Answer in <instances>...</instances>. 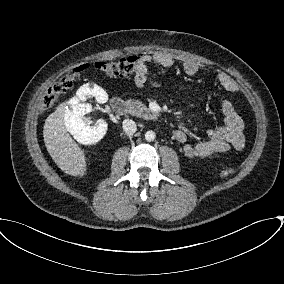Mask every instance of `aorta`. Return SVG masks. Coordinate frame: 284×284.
Returning <instances> with one entry per match:
<instances>
[{
  "label": "aorta",
  "instance_id": "762f6f07",
  "mask_svg": "<svg viewBox=\"0 0 284 284\" xmlns=\"http://www.w3.org/2000/svg\"><path fill=\"white\" fill-rule=\"evenodd\" d=\"M155 137H156L155 132L152 131V130L147 131V132L145 133V139H146V141H148V142L154 141V140H155Z\"/></svg>",
  "mask_w": 284,
  "mask_h": 284
}]
</instances>
